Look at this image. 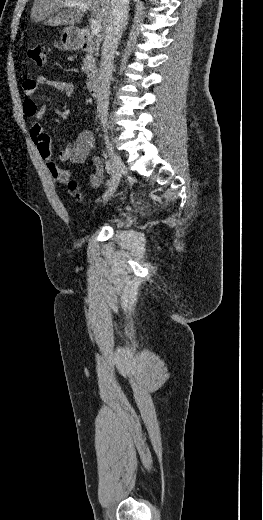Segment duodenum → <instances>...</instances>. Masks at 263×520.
<instances>
[{"label":"duodenum","mask_w":263,"mask_h":520,"mask_svg":"<svg viewBox=\"0 0 263 520\" xmlns=\"http://www.w3.org/2000/svg\"><path fill=\"white\" fill-rule=\"evenodd\" d=\"M81 48L89 53H93L96 49L94 41L87 31H83L81 34ZM86 87L88 92L94 96L98 90V70L92 68L86 75Z\"/></svg>","instance_id":"duodenum-1"}]
</instances>
